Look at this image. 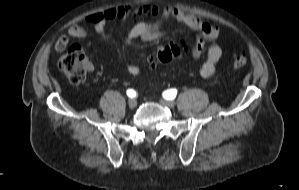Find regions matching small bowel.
<instances>
[{"label": "small bowel", "mask_w": 299, "mask_h": 190, "mask_svg": "<svg viewBox=\"0 0 299 190\" xmlns=\"http://www.w3.org/2000/svg\"><path fill=\"white\" fill-rule=\"evenodd\" d=\"M147 16L151 21H142L137 23L126 35L124 44L130 47L132 42L137 39H153L162 35L161 22L165 19L172 18L180 24L196 32V43L191 50V57L193 61H198L204 51L207 40L216 39L219 36V29L217 26L210 24L203 19L187 14L180 9L172 6H166L160 10L157 6L147 4L141 6H127V7H112L104 11L94 12L86 16L85 21L92 24L95 31L102 36L106 41L109 40L106 31L107 24L118 20H125L128 17ZM87 32L81 26H72L68 29V33L62 36L55 43V50L58 52L64 51L70 38H84ZM224 55L223 48L213 43L209 46L207 51V58L200 68V75L203 78L211 77L222 60ZM91 62L87 63L89 70L93 69ZM127 71L132 75H139L141 68L133 63H126Z\"/></svg>", "instance_id": "1"}]
</instances>
